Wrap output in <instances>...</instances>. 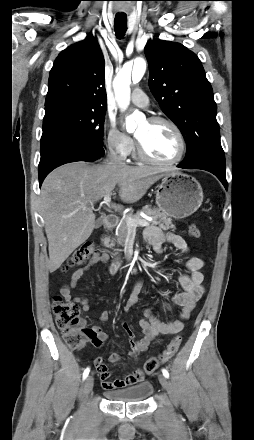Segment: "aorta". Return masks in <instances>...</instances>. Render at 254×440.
Masks as SVG:
<instances>
[{
  "label": "aorta",
  "instance_id": "obj_1",
  "mask_svg": "<svg viewBox=\"0 0 254 440\" xmlns=\"http://www.w3.org/2000/svg\"><path fill=\"white\" fill-rule=\"evenodd\" d=\"M146 71V61L138 58L132 63H126L122 69L117 73L113 81V87L116 94L118 104L121 109H125L130 102V84L131 75L134 82H139ZM138 113H133L126 118V129L132 132L136 129V121L139 119Z\"/></svg>",
  "mask_w": 254,
  "mask_h": 440
}]
</instances>
